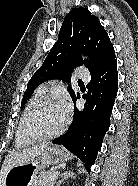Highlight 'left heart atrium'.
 <instances>
[{
  "instance_id": "39dd6f15",
  "label": "left heart atrium",
  "mask_w": 138,
  "mask_h": 186,
  "mask_svg": "<svg viewBox=\"0 0 138 186\" xmlns=\"http://www.w3.org/2000/svg\"><path fill=\"white\" fill-rule=\"evenodd\" d=\"M61 107L63 108L64 112L66 113V115L69 113L70 111V105H69V102L67 100H65Z\"/></svg>"
}]
</instances>
